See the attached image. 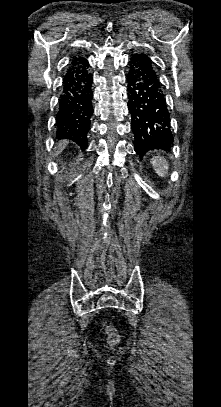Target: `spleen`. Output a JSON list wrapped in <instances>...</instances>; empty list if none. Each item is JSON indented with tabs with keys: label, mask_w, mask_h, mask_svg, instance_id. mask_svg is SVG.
<instances>
[{
	"label": "spleen",
	"mask_w": 221,
	"mask_h": 407,
	"mask_svg": "<svg viewBox=\"0 0 221 407\" xmlns=\"http://www.w3.org/2000/svg\"><path fill=\"white\" fill-rule=\"evenodd\" d=\"M151 164L159 176L164 177L168 173L169 165L165 158L158 155L154 156L151 159Z\"/></svg>",
	"instance_id": "spleen-1"
}]
</instances>
